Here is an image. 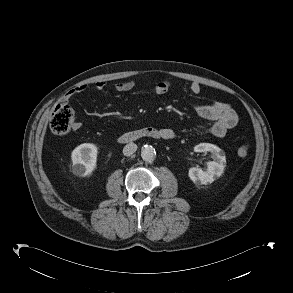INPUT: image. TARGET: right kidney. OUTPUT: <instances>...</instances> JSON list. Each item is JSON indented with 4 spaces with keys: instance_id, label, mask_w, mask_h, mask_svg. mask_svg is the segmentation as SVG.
<instances>
[{
    "instance_id": "ca27d5eb",
    "label": "right kidney",
    "mask_w": 293,
    "mask_h": 293,
    "mask_svg": "<svg viewBox=\"0 0 293 293\" xmlns=\"http://www.w3.org/2000/svg\"><path fill=\"white\" fill-rule=\"evenodd\" d=\"M98 149L92 143L77 146L71 154L72 172L77 176H89L96 168Z\"/></svg>"
}]
</instances>
